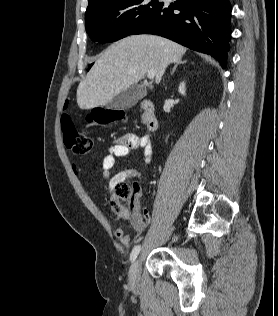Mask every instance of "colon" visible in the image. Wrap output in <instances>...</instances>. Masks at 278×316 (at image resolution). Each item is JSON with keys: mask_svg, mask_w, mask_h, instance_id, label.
I'll return each mask as SVG.
<instances>
[{"mask_svg": "<svg viewBox=\"0 0 278 316\" xmlns=\"http://www.w3.org/2000/svg\"><path fill=\"white\" fill-rule=\"evenodd\" d=\"M124 117V113L120 111H94L88 117V120L98 125H107L112 122L121 121ZM61 123L64 143L69 150L76 154L91 152L93 147L92 140L77 128L71 117L64 115ZM136 189V187L131 188L126 183H120L115 186L111 205L116 214L131 211ZM122 201L128 202L129 208L127 210L122 205Z\"/></svg>", "mask_w": 278, "mask_h": 316, "instance_id": "1", "label": "colon"}]
</instances>
